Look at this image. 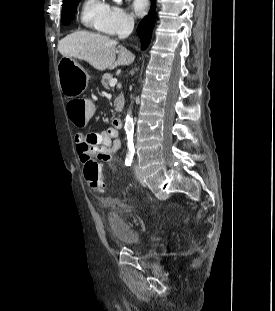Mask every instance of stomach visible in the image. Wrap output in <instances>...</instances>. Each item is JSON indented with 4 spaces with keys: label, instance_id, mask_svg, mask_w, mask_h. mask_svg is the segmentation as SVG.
Segmentation results:
<instances>
[{
    "label": "stomach",
    "instance_id": "stomach-1",
    "mask_svg": "<svg viewBox=\"0 0 275 311\" xmlns=\"http://www.w3.org/2000/svg\"><path fill=\"white\" fill-rule=\"evenodd\" d=\"M57 71L60 89L66 97L78 96L87 88L90 77L74 58L63 57Z\"/></svg>",
    "mask_w": 275,
    "mask_h": 311
}]
</instances>
